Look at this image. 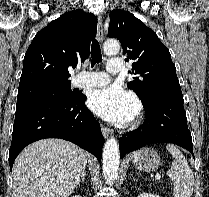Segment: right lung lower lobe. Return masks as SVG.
I'll return each mask as SVG.
<instances>
[{
    "mask_svg": "<svg viewBox=\"0 0 209 197\" xmlns=\"http://www.w3.org/2000/svg\"><path fill=\"white\" fill-rule=\"evenodd\" d=\"M85 100L86 96L79 93L72 99L40 101L16 108L9 150L10 168L23 148L44 138L73 142L100 161L105 140Z\"/></svg>",
    "mask_w": 209,
    "mask_h": 197,
    "instance_id": "98d812e1",
    "label": "right lung lower lobe"
}]
</instances>
